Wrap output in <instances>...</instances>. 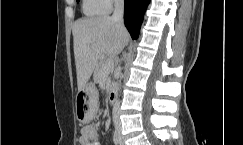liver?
<instances>
[{
    "mask_svg": "<svg viewBox=\"0 0 243 145\" xmlns=\"http://www.w3.org/2000/svg\"><path fill=\"white\" fill-rule=\"evenodd\" d=\"M129 40L126 28L111 17L82 18L73 25L78 90H82L102 56L118 55Z\"/></svg>",
    "mask_w": 243,
    "mask_h": 145,
    "instance_id": "liver-1",
    "label": "liver"
}]
</instances>
